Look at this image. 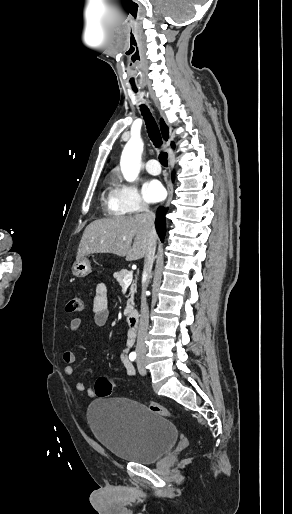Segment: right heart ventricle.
I'll return each mask as SVG.
<instances>
[{
    "mask_svg": "<svg viewBox=\"0 0 292 514\" xmlns=\"http://www.w3.org/2000/svg\"><path fill=\"white\" fill-rule=\"evenodd\" d=\"M101 201L103 210L107 216H119L123 214L124 210L117 203L114 188L111 184H108L102 191Z\"/></svg>",
    "mask_w": 292,
    "mask_h": 514,
    "instance_id": "right-heart-ventricle-1",
    "label": "right heart ventricle"
}]
</instances>
